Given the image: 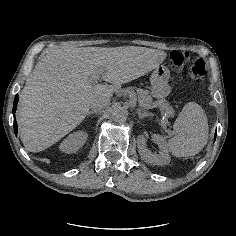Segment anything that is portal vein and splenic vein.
<instances>
[{"instance_id":"1","label":"portal vein and splenic vein","mask_w":236,"mask_h":236,"mask_svg":"<svg viewBox=\"0 0 236 236\" xmlns=\"http://www.w3.org/2000/svg\"><path fill=\"white\" fill-rule=\"evenodd\" d=\"M100 79H101V73H100V72H97V73L92 74V75L89 77V82H90L91 84L97 83Z\"/></svg>"}]
</instances>
